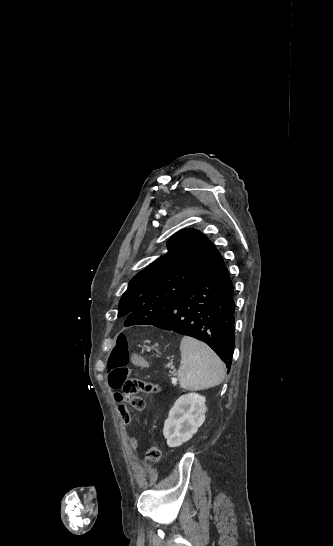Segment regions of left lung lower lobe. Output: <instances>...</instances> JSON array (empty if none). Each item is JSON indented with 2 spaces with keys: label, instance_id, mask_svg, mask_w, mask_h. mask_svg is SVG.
<instances>
[{
  "label": "left lung lower lobe",
  "instance_id": "1",
  "mask_svg": "<svg viewBox=\"0 0 333 546\" xmlns=\"http://www.w3.org/2000/svg\"><path fill=\"white\" fill-rule=\"evenodd\" d=\"M234 288L216 247L188 289L153 323L155 327L195 337L208 344L230 368L235 346ZM144 324L138 312L125 326Z\"/></svg>",
  "mask_w": 333,
  "mask_h": 546
}]
</instances>
